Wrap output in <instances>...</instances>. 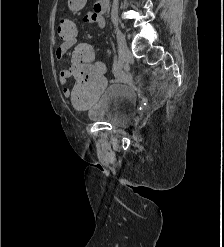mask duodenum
Returning a JSON list of instances; mask_svg holds the SVG:
<instances>
[{
  "mask_svg": "<svg viewBox=\"0 0 224 247\" xmlns=\"http://www.w3.org/2000/svg\"><path fill=\"white\" fill-rule=\"evenodd\" d=\"M110 0H98L96 4V10L99 12H103L107 9Z\"/></svg>",
  "mask_w": 224,
  "mask_h": 247,
  "instance_id": "duodenum-1",
  "label": "duodenum"
}]
</instances>
